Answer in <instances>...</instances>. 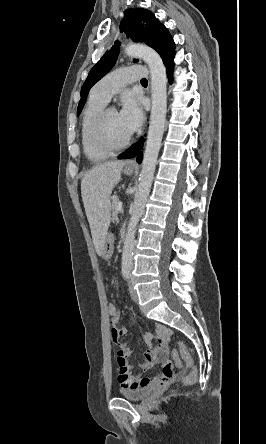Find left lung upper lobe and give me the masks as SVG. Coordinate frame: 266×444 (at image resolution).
<instances>
[{
    "label": "left lung upper lobe",
    "instance_id": "1",
    "mask_svg": "<svg viewBox=\"0 0 266 444\" xmlns=\"http://www.w3.org/2000/svg\"><path fill=\"white\" fill-rule=\"evenodd\" d=\"M120 31L124 32L128 39L135 42H144L155 49L164 63L175 56V44L172 36L167 28L149 10L143 8L127 9L120 24ZM119 46V41H116L89 72L81 88V99L77 108V115L80 114L91 87L114 66L119 54Z\"/></svg>",
    "mask_w": 266,
    "mask_h": 444
}]
</instances>
